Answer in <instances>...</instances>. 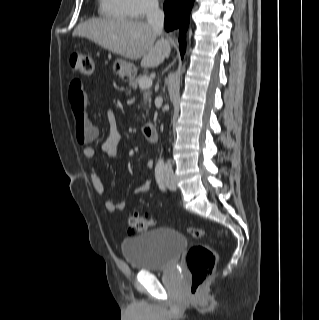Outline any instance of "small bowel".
<instances>
[{
  "label": "small bowel",
  "instance_id": "1",
  "mask_svg": "<svg viewBox=\"0 0 319 320\" xmlns=\"http://www.w3.org/2000/svg\"><path fill=\"white\" fill-rule=\"evenodd\" d=\"M69 103L71 112L74 116L82 115L87 124L93 129L95 132V137L98 135V128L87 119L85 107L87 103V95L84 91L83 83L80 80H73L70 83L69 87ZM107 121H108V133L103 141L102 149L103 152L110 156L114 157L117 154V149L121 143V133L116 127L115 118L114 115L111 112L107 113ZM83 155L86 159L90 160L93 159L95 156V150L91 146H85L83 148ZM146 166L148 168H151L153 166V162L151 160L146 162ZM90 181L91 185L94 189V191L103 198V203L105 209L110 212H119L123 211L125 209V202L119 201L115 202L111 199L105 198V186L104 183L97 172L95 168L92 169L91 175H90ZM149 190V182L145 181L139 186L132 189L131 194L132 195H140L144 194Z\"/></svg>",
  "mask_w": 319,
  "mask_h": 320
}]
</instances>
